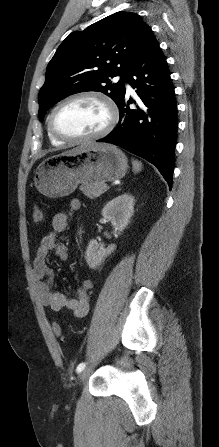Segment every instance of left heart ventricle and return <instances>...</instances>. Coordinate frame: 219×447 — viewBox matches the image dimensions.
<instances>
[{"label":"left heart ventricle","instance_id":"1","mask_svg":"<svg viewBox=\"0 0 219 447\" xmlns=\"http://www.w3.org/2000/svg\"><path fill=\"white\" fill-rule=\"evenodd\" d=\"M107 122L105 107L93 99H79L63 105L55 114L57 131L69 137H82L101 130Z\"/></svg>","mask_w":219,"mask_h":447}]
</instances>
